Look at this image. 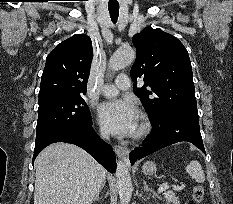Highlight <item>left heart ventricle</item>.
Segmentation results:
<instances>
[{"label": "left heart ventricle", "mask_w": 233, "mask_h": 204, "mask_svg": "<svg viewBox=\"0 0 233 204\" xmlns=\"http://www.w3.org/2000/svg\"><path fill=\"white\" fill-rule=\"evenodd\" d=\"M138 124H139V120L137 119V121H136V125H135V129H134V132L137 130V128H138Z\"/></svg>", "instance_id": "left-heart-ventricle-1"}]
</instances>
